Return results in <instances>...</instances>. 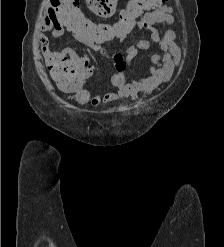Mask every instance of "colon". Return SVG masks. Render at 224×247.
Returning <instances> with one entry per match:
<instances>
[{
    "mask_svg": "<svg viewBox=\"0 0 224 247\" xmlns=\"http://www.w3.org/2000/svg\"><path fill=\"white\" fill-rule=\"evenodd\" d=\"M168 1L170 0H129L114 23L93 22L80 10L78 0H52V5L64 24L77 36L106 42L125 38L143 14L164 7ZM113 61L117 71L124 70L125 61L120 54H115ZM48 68L62 89L76 92L77 99L82 103L92 102L90 91L83 86L92 72L88 62L77 58L55 57L48 63Z\"/></svg>",
    "mask_w": 224,
    "mask_h": 247,
    "instance_id": "colon-1",
    "label": "colon"
}]
</instances>
